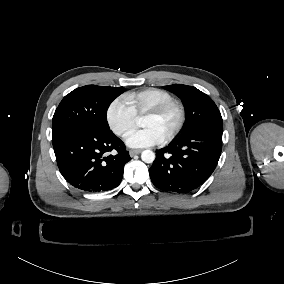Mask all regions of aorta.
<instances>
[{"label": "aorta", "mask_w": 284, "mask_h": 284, "mask_svg": "<svg viewBox=\"0 0 284 284\" xmlns=\"http://www.w3.org/2000/svg\"><path fill=\"white\" fill-rule=\"evenodd\" d=\"M141 159L145 163H152L155 160V153L151 150H144L141 154Z\"/></svg>", "instance_id": "obj_1"}]
</instances>
